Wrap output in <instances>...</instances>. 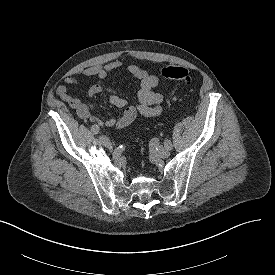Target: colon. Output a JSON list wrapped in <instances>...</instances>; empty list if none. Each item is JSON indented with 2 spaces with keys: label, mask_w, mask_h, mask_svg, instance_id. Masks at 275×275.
Segmentation results:
<instances>
[{
  "label": "colon",
  "mask_w": 275,
  "mask_h": 275,
  "mask_svg": "<svg viewBox=\"0 0 275 275\" xmlns=\"http://www.w3.org/2000/svg\"><path fill=\"white\" fill-rule=\"evenodd\" d=\"M162 78L166 81L180 82L190 85L195 81L191 71L184 66H167L162 70Z\"/></svg>",
  "instance_id": "colon-1"
}]
</instances>
